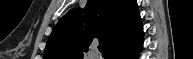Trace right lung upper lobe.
Returning a JSON list of instances; mask_svg holds the SVG:
<instances>
[{
  "label": "right lung upper lobe",
  "instance_id": "right-lung-upper-lobe-1",
  "mask_svg": "<svg viewBox=\"0 0 193 59\" xmlns=\"http://www.w3.org/2000/svg\"><path fill=\"white\" fill-rule=\"evenodd\" d=\"M84 12L85 30L79 13ZM136 0H88L84 10L66 13L54 27L44 59H83L94 38L104 45V57L142 31Z\"/></svg>",
  "mask_w": 193,
  "mask_h": 59
}]
</instances>
